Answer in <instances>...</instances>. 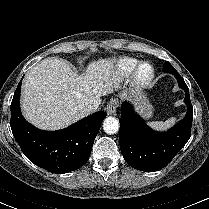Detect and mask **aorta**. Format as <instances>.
I'll return each instance as SVG.
<instances>
[{
	"label": "aorta",
	"instance_id": "obj_1",
	"mask_svg": "<svg viewBox=\"0 0 209 209\" xmlns=\"http://www.w3.org/2000/svg\"><path fill=\"white\" fill-rule=\"evenodd\" d=\"M103 129L107 134H115L119 130V121L115 117H107L103 121Z\"/></svg>",
	"mask_w": 209,
	"mask_h": 209
}]
</instances>
